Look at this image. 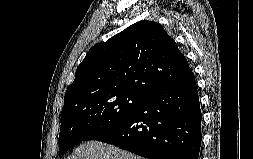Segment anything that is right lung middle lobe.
<instances>
[{"label": "right lung middle lobe", "instance_id": "dd1d6c3e", "mask_svg": "<svg viewBox=\"0 0 253 159\" xmlns=\"http://www.w3.org/2000/svg\"><path fill=\"white\" fill-rule=\"evenodd\" d=\"M145 97L136 92H99L69 101L61 112L59 152L117 126Z\"/></svg>", "mask_w": 253, "mask_h": 159}]
</instances>
